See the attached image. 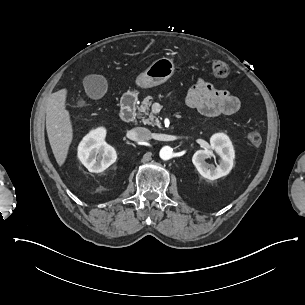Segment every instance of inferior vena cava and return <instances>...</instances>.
I'll return each instance as SVG.
<instances>
[{
  "instance_id": "inferior-vena-cava-1",
  "label": "inferior vena cava",
  "mask_w": 305,
  "mask_h": 305,
  "mask_svg": "<svg viewBox=\"0 0 305 305\" xmlns=\"http://www.w3.org/2000/svg\"><path fill=\"white\" fill-rule=\"evenodd\" d=\"M130 138L135 141H146L151 138V132L144 127H136L129 132Z\"/></svg>"
}]
</instances>
